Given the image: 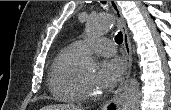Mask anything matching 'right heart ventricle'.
<instances>
[{
    "mask_svg": "<svg viewBox=\"0 0 171 110\" xmlns=\"http://www.w3.org/2000/svg\"><path fill=\"white\" fill-rule=\"evenodd\" d=\"M82 56L74 45L62 49L54 58L48 77L51 94L59 101L77 103L82 100L75 84L74 76Z\"/></svg>",
    "mask_w": 171,
    "mask_h": 110,
    "instance_id": "obj_1",
    "label": "right heart ventricle"
}]
</instances>
